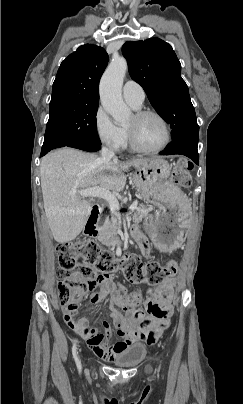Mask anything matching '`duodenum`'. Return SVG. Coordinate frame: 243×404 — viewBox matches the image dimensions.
Returning a JSON list of instances; mask_svg holds the SVG:
<instances>
[{"label": "duodenum", "instance_id": "duodenum-1", "mask_svg": "<svg viewBox=\"0 0 243 404\" xmlns=\"http://www.w3.org/2000/svg\"><path fill=\"white\" fill-rule=\"evenodd\" d=\"M98 215H99V206L93 205L91 213L84 227V233L86 236L94 237L97 234Z\"/></svg>", "mask_w": 243, "mask_h": 404}]
</instances>
